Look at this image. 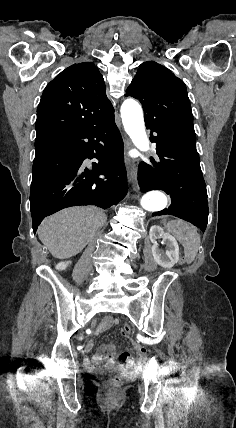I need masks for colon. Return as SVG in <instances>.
I'll return each instance as SVG.
<instances>
[{
  "label": "colon",
  "instance_id": "colon-1",
  "mask_svg": "<svg viewBox=\"0 0 236 428\" xmlns=\"http://www.w3.org/2000/svg\"><path fill=\"white\" fill-rule=\"evenodd\" d=\"M122 331L123 334L128 335L131 332V328L129 325H125ZM106 384L109 390L117 391L122 386L123 379L120 376H113L107 380Z\"/></svg>",
  "mask_w": 236,
  "mask_h": 428
}]
</instances>
